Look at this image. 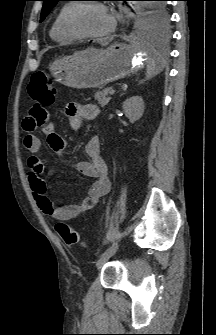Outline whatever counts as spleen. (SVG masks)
<instances>
[{"instance_id": "3e777b00", "label": "spleen", "mask_w": 216, "mask_h": 335, "mask_svg": "<svg viewBox=\"0 0 216 335\" xmlns=\"http://www.w3.org/2000/svg\"><path fill=\"white\" fill-rule=\"evenodd\" d=\"M161 60L155 52H150L147 61V78H152L161 71Z\"/></svg>"}]
</instances>
